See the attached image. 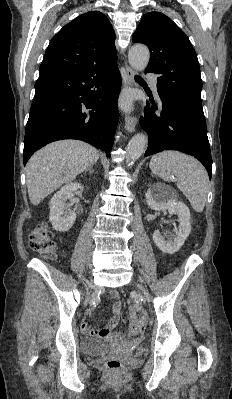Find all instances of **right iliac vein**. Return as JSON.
Returning <instances> with one entry per match:
<instances>
[{"instance_id":"right-iliac-vein-1","label":"right iliac vein","mask_w":232,"mask_h":399,"mask_svg":"<svg viewBox=\"0 0 232 399\" xmlns=\"http://www.w3.org/2000/svg\"><path fill=\"white\" fill-rule=\"evenodd\" d=\"M88 299H91V293H88V296H86L85 300L82 301L83 307H86L89 304Z\"/></svg>"}]
</instances>
